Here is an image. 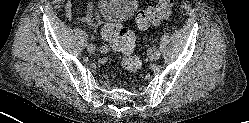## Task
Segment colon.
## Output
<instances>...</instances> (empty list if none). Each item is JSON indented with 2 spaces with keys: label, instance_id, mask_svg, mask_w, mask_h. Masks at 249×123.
Segmentation results:
<instances>
[{
  "label": "colon",
  "instance_id": "5ec220e1",
  "mask_svg": "<svg viewBox=\"0 0 249 123\" xmlns=\"http://www.w3.org/2000/svg\"><path fill=\"white\" fill-rule=\"evenodd\" d=\"M173 0H159L156 5L140 10L136 15V24L142 30L160 23L171 12ZM111 47L123 56L122 65L128 71H136L141 66L140 59L134 54L135 37L133 33L121 26L107 24L102 32Z\"/></svg>",
  "mask_w": 249,
  "mask_h": 123
}]
</instances>
